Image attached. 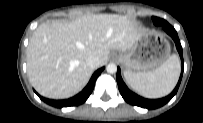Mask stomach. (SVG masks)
Wrapping results in <instances>:
<instances>
[{
	"label": "stomach",
	"mask_w": 203,
	"mask_h": 123,
	"mask_svg": "<svg viewBox=\"0 0 203 123\" xmlns=\"http://www.w3.org/2000/svg\"><path fill=\"white\" fill-rule=\"evenodd\" d=\"M170 44L161 34L146 32L126 51L113 55L125 71L148 72L160 67L169 57Z\"/></svg>",
	"instance_id": "1"
}]
</instances>
